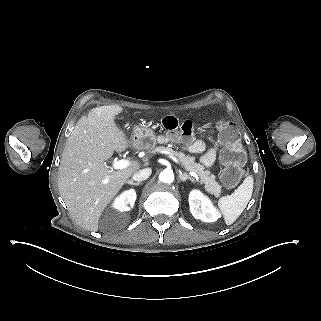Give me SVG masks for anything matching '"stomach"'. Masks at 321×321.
<instances>
[{"mask_svg":"<svg viewBox=\"0 0 321 321\" xmlns=\"http://www.w3.org/2000/svg\"><path fill=\"white\" fill-rule=\"evenodd\" d=\"M128 142L129 146L135 149L151 150L156 146V136L153 130L143 126H136Z\"/></svg>","mask_w":321,"mask_h":321,"instance_id":"stomach-1","label":"stomach"}]
</instances>
